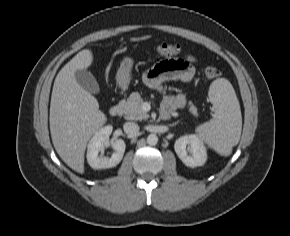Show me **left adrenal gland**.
Masks as SVG:
<instances>
[{"mask_svg": "<svg viewBox=\"0 0 290 236\" xmlns=\"http://www.w3.org/2000/svg\"><path fill=\"white\" fill-rule=\"evenodd\" d=\"M178 122H179V121H177V122L171 124L170 126H175L176 124H178Z\"/></svg>", "mask_w": 290, "mask_h": 236, "instance_id": "obj_1", "label": "left adrenal gland"}]
</instances>
